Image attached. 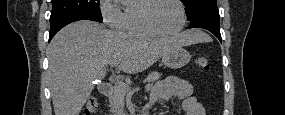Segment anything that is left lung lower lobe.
<instances>
[{
  "label": "left lung lower lobe",
  "mask_w": 285,
  "mask_h": 115,
  "mask_svg": "<svg viewBox=\"0 0 285 115\" xmlns=\"http://www.w3.org/2000/svg\"><path fill=\"white\" fill-rule=\"evenodd\" d=\"M219 11L217 7L208 8L194 15L189 21V28H204L212 32L221 42L219 28Z\"/></svg>",
  "instance_id": "1"
}]
</instances>
